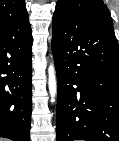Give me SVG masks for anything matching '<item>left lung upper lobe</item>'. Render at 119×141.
I'll return each mask as SVG.
<instances>
[{
    "label": "left lung upper lobe",
    "mask_w": 119,
    "mask_h": 141,
    "mask_svg": "<svg viewBox=\"0 0 119 141\" xmlns=\"http://www.w3.org/2000/svg\"><path fill=\"white\" fill-rule=\"evenodd\" d=\"M54 13L113 25L110 12L102 0H58Z\"/></svg>",
    "instance_id": "1"
}]
</instances>
